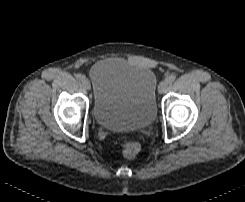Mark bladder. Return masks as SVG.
I'll use <instances>...</instances> for the list:
<instances>
[{"instance_id":"obj_1","label":"bladder","mask_w":245,"mask_h":202,"mask_svg":"<svg viewBox=\"0 0 245 202\" xmlns=\"http://www.w3.org/2000/svg\"><path fill=\"white\" fill-rule=\"evenodd\" d=\"M92 113L103 128L131 132L145 129L157 114V77L154 72L123 60L95 64Z\"/></svg>"}]
</instances>
